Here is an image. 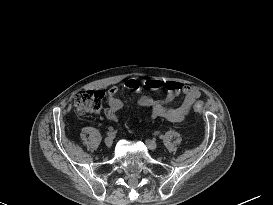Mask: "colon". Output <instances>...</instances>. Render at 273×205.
I'll return each instance as SVG.
<instances>
[{
	"mask_svg": "<svg viewBox=\"0 0 273 205\" xmlns=\"http://www.w3.org/2000/svg\"><path fill=\"white\" fill-rule=\"evenodd\" d=\"M105 93L101 90H81L74 95V107L80 116L96 114L100 111ZM203 104H194V110L198 113L203 111Z\"/></svg>",
	"mask_w": 273,
	"mask_h": 205,
	"instance_id": "obj_1",
	"label": "colon"
}]
</instances>
